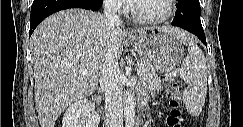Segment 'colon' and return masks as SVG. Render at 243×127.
I'll list each match as a JSON object with an SVG mask.
<instances>
[{"mask_svg": "<svg viewBox=\"0 0 243 127\" xmlns=\"http://www.w3.org/2000/svg\"><path fill=\"white\" fill-rule=\"evenodd\" d=\"M167 98L171 111L167 117V125L170 127L185 126V119L181 109L182 94L178 83H172L167 90Z\"/></svg>", "mask_w": 243, "mask_h": 127, "instance_id": "obj_1", "label": "colon"}]
</instances>
